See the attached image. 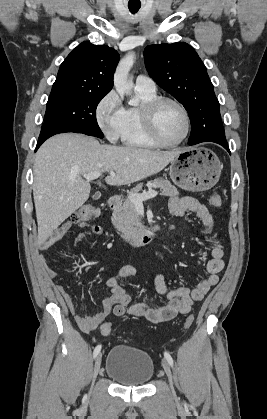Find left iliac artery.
<instances>
[{
	"label": "left iliac artery",
	"mask_w": 267,
	"mask_h": 419,
	"mask_svg": "<svg viewBox=\"0 0 267 419\" xmlns=\"http://www.w3.org/2000/svg\"><path fill=\"white\" fill-rule=\"evenodd\" d=\"M164 356L166 358V360L168 361L170 366H173V359L171 357V355L168 352H164Z\"/></svg>",
	"instance_id": "1"
}]
</instances>
